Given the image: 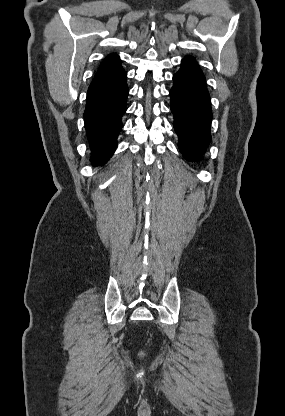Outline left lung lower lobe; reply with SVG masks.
I'll return each mask as SVG.
<instances>
[{
	"label": "left lung lower lobe",
	"instance_id": "left-lung-lower-lobe-1",
	"mask_svg": "<svg viewBox=\"0 0 285 416\" xmlns=\"http://www.w3.org/2000/svg\"><path fill=\"white\" fill-rule=\"evenodd\" d=\"M170 90L174 129L184 158L195 161L206 151L210 140L212 111L206 80L193 57L182 60Z\"/></svg>",
	"mask_w": 285,
	"mask_h": 416
}]
</instances>
